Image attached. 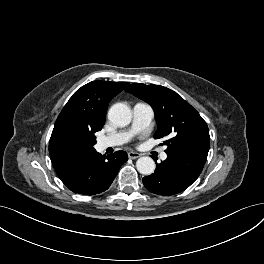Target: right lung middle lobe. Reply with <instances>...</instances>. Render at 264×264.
I'll use <instances>...</instances> for the list:
<instances>
[{"mask_svg":"<svg viewBox=\"0 0 264 264\" xmlns=\"http://www.w3.org/2000/svg\"><path fill=\"white\" fill-rule=\"evenodd\" d=\"M95 143L94 133L72 132L63 138L61 145L65 153L78 157L93 152Z\"/></svg>","mask_w":264,"mask_h":264,"instance_id":"right-lung-middle-lobe-1","label":"right lung middle lobe"}]
</instances>
